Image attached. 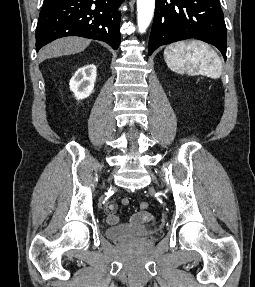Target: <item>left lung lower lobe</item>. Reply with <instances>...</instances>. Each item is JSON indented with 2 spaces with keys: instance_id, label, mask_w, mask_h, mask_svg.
<instances>
[{
  "instance_id": "0a47b994",
  "label": "left lung lower lobe",
  "mask_w": 255,
  "mask_h": 287,
  "mask_svg": "<svg viewBox=\"0 0 255 287\" xmlns=\"http://www.w3.org/2000/svg\"><path fill=\"white\" fill-rule=\"evenodd\" d=\"M190 38L216 46L226 60V25L218 0H156L148 54L159 46Z\"/></svg>"
}]
</instances>
